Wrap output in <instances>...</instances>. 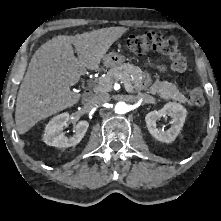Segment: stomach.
I'll list each match as a JSON object with an SVG mask.
<instances>
[{
  "label": "stomach",
  "instance_id": "stomach-1",
  "mask_svg": "<svg viewBox=\"0 0 221 221\" xmlns=\"http://www.w3.org/2000/svg\"><path fill=\"white\" fill-rule=\"evenodd\" d=\"M125 61V57L121 54H118L116 52H111L104 56L103 58V64L106 67H116L123 64Z\"/></svg>",
  "mask_w": 221,
  "mask_h": 221
}]
</instances>
